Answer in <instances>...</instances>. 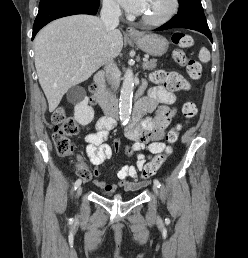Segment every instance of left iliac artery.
Segmentation results:
<instances>
[{"label": "left iliac artery", "mask_w": 248, "mask_h": 258, "mask_svg": "<svg viewBox=\"0 0 248 258\" xmlns=\"http://www.w3.org/2000/svg\"><path fill=\"white\" fill-rule=\"evenodd\" d=\"M154 184H155L158 188L161 187V184H160V182H159L158 179H154Z\"/></svg>", "instance_id": "left-iliac-artery-1"}]
</instances>
